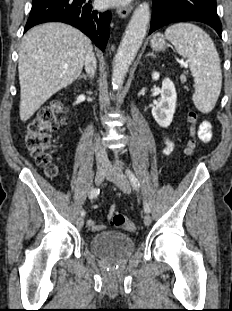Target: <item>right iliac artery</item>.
<instances>
[{"instance_id":"obj_1","label":"right iliac artery","mask_w":232,"mask_h":311,"mask_svg":"<svg viewBox=\"0 0 232 311\" xmlns=\"http://www.w3.org/2000/svg\"><path fill=\"white\" fill-rule=\"evenodd\" d=\"M100 193V189L99 188H93L91 191H90V194H89V198L90 199H93L95 197H97V195ZM86 214V212L84 210L81 211V216L84 217Z\"/></svg>"}]
</instances>
